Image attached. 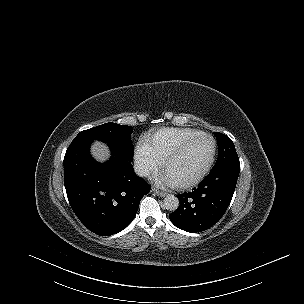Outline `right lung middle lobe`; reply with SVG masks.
I'll return each mask as SVG.
<instances>
[{
	"label": "right lung middle lobe",
	"mask_w": 304,
	"mask_h": 304,
	"mask_svg": "<svg viewBox=\"0 0 304 304\" xmlns=\"http://www.w3.org/2000/svg\"><path fill=\"white\" fill-rule=\"evenodd\" d=\"M131 126L119 125L116 123H105L94 128L81 131L74 141L78 140H100L107 143L115 153L122 159L132 162L133 144L131 142Z\"/></svg>",
	"instance_id": "obj_1"
}]
</instances>
